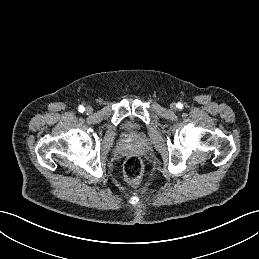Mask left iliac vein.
I'll return each instance as SVG.
<instances>
[{
	"label": "left iliac vein",
	"mask_w": 259,
	"mask_h": 259,
	"mask_svg": "<svg viewBox=\"0 0 259 259\" xmlns=\"http://www.w3.org/2000/svg\"><path fill=\"white\" fill-rule=\"evenodd\" d=\"M171 110L175 111L177 109L176 104L172 103L170 106Z\"/></svg>",
	"instance_id": "left-iliac-vein-1"
}]
</instances>
